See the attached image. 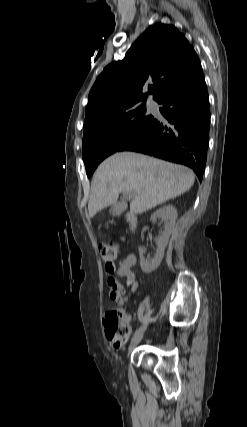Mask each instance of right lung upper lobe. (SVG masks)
I'll list each match as a JSON object with an SVG mask.
<instances>
[{
    "label": "right lung upper lobe",
    "mask_w": 247,
    "mask_h": 427,
    "mask_svg": "<svg viewBox=\"0 0 247 427\" xmlns=\"http://www.w3.org/2000/svg\"><path fill=\"white\" fill-rule=\"evenodd\" d=\"M201 71L185 36L172 25L157 23L137 39L123 60L109 64L98 76L89 93L84 129L140 101L145 104L148 94L159 102Z\"/></svg>",
    "instance_id": "right-lung-upper-lobe-1"
}]
</instances>
